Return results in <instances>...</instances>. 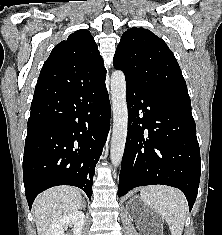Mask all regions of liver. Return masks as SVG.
I'll return each instance as SVG.
<instances>
[{
    "label": "liver",
    "instance_id": "6515ba94",
    "mask_svg": "<svg viewBox=\"0 0 222 235\" xmlns=\"http://www.w3.org/2000/svg\"><path fill=\"white\" fill-rule=\"evenodd\" d=\"M81 206L79 190L70 186L54 187L39 194L33 204L38 235H46L52 224L77 212Z\"/></svg>",
    "mask_w": 222,
    "mask_h": 235
}]
</instances>
